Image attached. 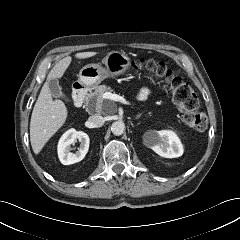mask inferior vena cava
Listing matches in <instances>:
<instances>
[{"mask_svg":"<svg viewBox=\"0 0 240 240\" xmlns=\"http://www.w3.org/2000/svg\"><path fill=\"white\" fill-rule=\"evenodd\" d=\"M88 120L92 127H101L105 123V118L100 115H92Z\"/></svg>","mask_w":240,"mask_h":240,"instance_id":"1","label":"inferior vena cava"}]
</instances>
